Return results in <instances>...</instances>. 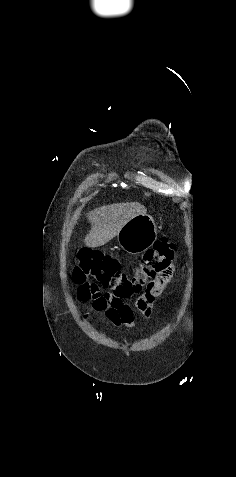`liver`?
<instances>
[{"instance_id": "1", "label": "liver", "mask_w": 236, "mask_h": 477, "mask_svg": "<svg viewBox=\"0 0 236 477\" xmlns=\"http://www.w3.org/2000/svg\"><path fill=\"white\" fill-rule=\"evenodd\" d=\"M146 212L147 209L136 202L112 204L89 212L91 230L84 239L85 245L93 248L105 245L131 218Z\"/></svg>"}]
</instances>
